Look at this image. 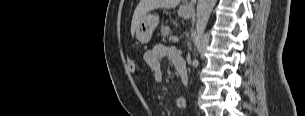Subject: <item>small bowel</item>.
Here are the masks:
<instances>
[{"label":"small bowel","mask_w":305,"mask_h":116,"mask_svg":"<svg viewBox=\"0 0 305 116\" xmlns=\"http://www.w3.org/2000/svg\"><path fill=\"white\" fill-rule=\"evenodd\" d=\"M167 56L175 62L180 57V54L174 48L157 44L144 55V60L155 82H161L163 80L162 60ZM176 105L181 109H186L185 99L178 97L176 99Z\"/></svg>","instance_id":"1"}]
</instances>
